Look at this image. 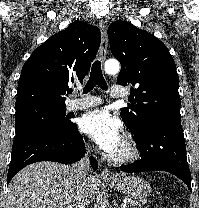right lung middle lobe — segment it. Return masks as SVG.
I'll use <instances>...</instances> for the list:
<instances>
[{"mask_svg":"<svg viewBox=\"0 0 199 208\" xmlns=\"http://www.w3.org/2000/svg\"><path fill=\"white\" fill-rule=\"evenodd\" d=\"M68 119L65 107L30 106L16 110L15 130L45 128L59 133L75 125Z\"/></svg>","mask_w":199,"mask_h":208,"instance_id":"obj_1","label":"right lung middle lobe"}]
</instances>
